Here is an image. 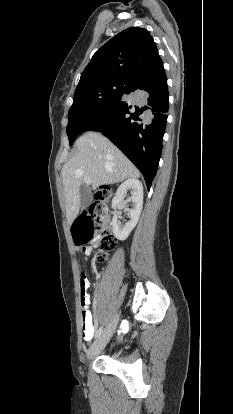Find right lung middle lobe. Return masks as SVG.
I'll list each match as a JSON object with an SVG mask.
<instances>
[{
  "label": "right lung middle lobe",
  "instance_id": "dd1d6c3e",
  "mask_svg": "<svg viewBox=\"0 0 233 414\" xmlns=\"http://www.w3.org/2000/svg\"><path fill=\"white\" fill-rule=\"evenodd\" d=\"M129 84V81L124 80H103L75 92L68 114L67 135L70 146L80 134L83 125L119 100Z\"/></svg>",
  "mask_w": 233,
  "mask_h": 414
}]
</instances>
